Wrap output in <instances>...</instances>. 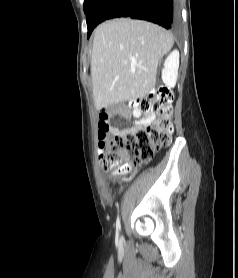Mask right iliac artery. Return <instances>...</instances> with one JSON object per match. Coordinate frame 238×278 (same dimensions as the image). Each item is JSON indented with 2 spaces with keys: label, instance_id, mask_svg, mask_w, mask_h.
<instances>
[{
  "label": "right iliac artery",
  "instance_id": "1",
  "mask_svg": "<svg viewBox=\"0 0 238 278\" xmlns=\"http://www.w3.org/2000/svg\"><path fill=\"white\" fill-rule=\"evenodd\" d=\"M119 230H120V219H119V216H118L117 220H116V231H117V234H118Z\"/></svg>",
  "mask_w": 238,
  "mask_h": 278
}]
</instances>
